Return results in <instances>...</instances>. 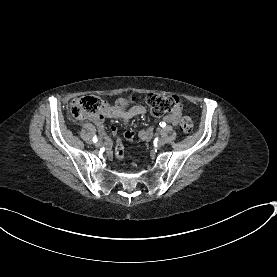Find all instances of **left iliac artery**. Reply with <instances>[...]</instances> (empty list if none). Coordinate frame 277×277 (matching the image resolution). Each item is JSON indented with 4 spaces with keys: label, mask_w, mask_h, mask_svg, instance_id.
I'll return each mask as SVG.
<instances>
[{
    "label": "left iliac artery",
    "mask_w": 277,
    "mask_h": 277,
    "mask_svg": "<svg viewBox=\"0 0 277 277\" xmlns=\"http://www.w3.org/2000/svg\"><path fill=\"white\" fill-rule=\"evenodd\" d=\"M160 126L163 128V127L166 126V123H165V122H161V123H160Z\"/></svg>",
    "instance_id": "left-iliac-artery-1"
}]
</instances>
